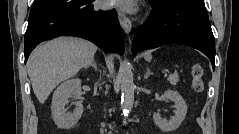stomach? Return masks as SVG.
I'll use <instances>...</instances> for the list:
<instances>
[{"label": "stomach", "mask_w": 239, "mask_h": 134, "mask_svg": "<svg viewBox=\"0 0 239 134\" xmlns=\"http://www.w3.org/2000/svg\"><path fill=\"white\" fill-rule=\"evenodd\" d=\"M146 58H147V60H149V59H151V56H147Z\"/></svg>", "instance_id": "0dacf381"}]
</instances>
